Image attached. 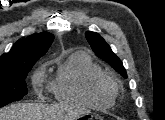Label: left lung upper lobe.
I'll list each match as a JSON object with an SVG mask.
<instances>
[{
	"label": "left lung upper lobe",
	"instance_id": "5c2ea615",
	"mask_svg": "<svg viewBox=\"0 0 165 120\" xmlns=\"http://www.w3.org/2000/svg\"><path fill=\"white\" fill-rule=\"evenodd\" d=\"M85 36L95 54L110 64L111 67H113L124 78H127V73L123 67L122 61L113 53L105 40L95 32L87 31Z\"/></svg>",
	"mask_w": 165,
	"mask_h": 120
}]
</instances>
